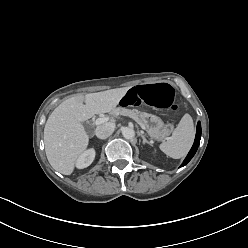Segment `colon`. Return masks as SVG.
<instances>
[{
    "label": "colon",
    "instance_id": "1",
    "mask_svg": "<svg viewBox=\"0 0 248 248\" xmlns=\"http://www.w3.org/2000/svg\"><path fill=\"white\" fill-rule=\"evenodd\" d=\"M121 103L126 108H132L147 103L158 109L176 110L179 108L176 90L166 83L141 85L129 90L122 96Z\"/></svg>",
    "mask_w": 248,
    "mask_h": 248
}]
</instances>
